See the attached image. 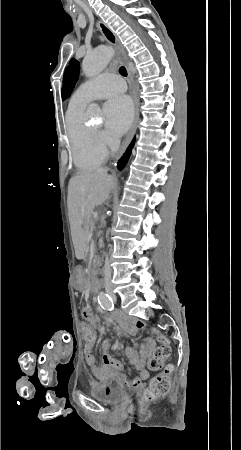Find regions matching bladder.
Masks as SVG:
<instances>
[{"instance_id":"bladder-1","label":"bladder","mask_w":241,"mask_h":450,"mask_svg":"<svg viewBox=\"0 0 241 450\" xmlns=\"http://www.w3.org/2000/svg\"><path fill=\"white\" fill-rule=\"evenodd\" d=\"M92 394L99 401L115 402L125 397L126 389L122 384L107 382L93 390Z\"/></svg>"}]
</instances>
